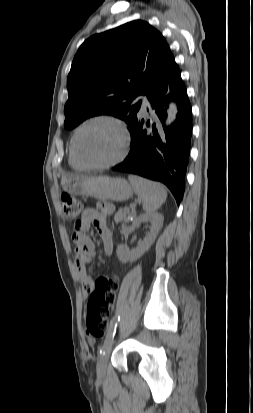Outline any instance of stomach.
I'll list each match as a JSON object with an SVG mask.
<instances>
[{"instance_id": "0dacf381", "label": "stomach", "mask_w": 253, "mask_h": 413, "mask_svg": "<svg viewBox=\"0 0 253 413\" xmlns=\"http://www.w3.org/2000/svg\"><path fill=\"white\" fill-rule=\"evenodd\" d=\"M64 191L73 196H87L98 200L125 201L133 190L124 178L109 176H64L61 181Z\"/></svg>"}]
</instances>
